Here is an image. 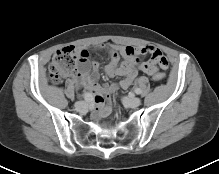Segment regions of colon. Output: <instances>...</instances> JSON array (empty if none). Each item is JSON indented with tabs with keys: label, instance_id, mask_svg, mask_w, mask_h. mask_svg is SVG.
<instances>
[{
	"label": "colon",
	"instance_id": "obj_1",
	"mask_svg": "<svg viewBox=\"0 0 219 174\" xmlns=\"http://www.w3.org/2000/svg\"><path fill=\"white\" fill-rule=\"evenodd\" d=\"M80 57L72 47H64L55 52L49 66V75L52 82H59L62 78L71 75L77 70ZM165 74L159 72L153 76L155 82L161 83Z\"/></svg>",
	"mask_w": 219,
	"mask_h": 174
}]
</instances>
